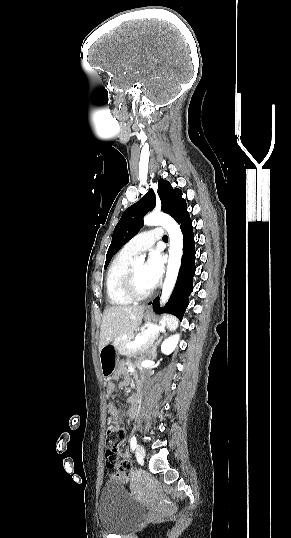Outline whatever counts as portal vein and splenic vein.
I'll return each mask as SVG.
<instances>
[{
  "label": "portal vein and splenic vein",
  "mask_w": 291,
  "mask_h": 538,
  "mask_svg": "<svg viewBox=\"0 0 291 538\" xmlns=\"http://www.w3.org/2000/svg\"><path fill=\"white\" fill-rule=\"evenodd\" d=\"M158 329L156 326H151L141 335L135 338L134 341H130L126 344L127 348H137L144 345L148 341V337L151 334L157 333Z\"/></svg>",
  "instance_id": "obj_1"
}]
</instances>
